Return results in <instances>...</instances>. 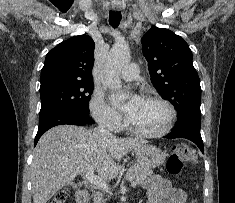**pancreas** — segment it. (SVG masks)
<instances>
[{
	"mask_svg": "<svg viewBox=\"0 0 235 203\" xmlns=\"http://www.w3.org/2000/svg\"><path fill=\"white\" fill-rule=\"evenodd\" d=\"M153 171L148 168L138 164H135L129 168L125 178L135 181L137 184H143L147 176L151 175ZM94 203H103L102 195H99L94 199Z\"/></svg>",
	"mask_w": 235,
	"mask_h": 203,
	"instance_id": "cf45deb5",
	"label": "pancreas"
}]
</instances>
